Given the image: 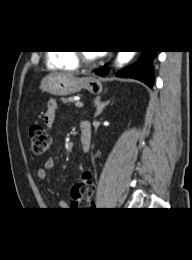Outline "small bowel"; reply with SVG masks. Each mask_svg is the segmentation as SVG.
Returning <instances> with one entry per match:
<instances>
[{
	"label": "small bowel",
	"mask_w": 192,
	"mask_h": 260,
	"mask_svg": "<svg viewBox=\"0 0 192 260\" xmlns=\"http://www.w3.org/2000/svg\"><path fill=\"white\" fill-rule=\"evenodd\" d=\"M58 110V104L55 100L51 99L48 102V106H47V111L44 115V123L48 128H51L53 123H54V119H55V115L56 112ZM55 159L50 157L48 159H46L45 163H44V168H41L37 171V177L40 181H44L46 179L47 176V171L51 170L55 167ZM91 204H82L79 202H72V207L74 208H86V207H90ZM56 207L60 210L67 208V203L63 200H60L57 202Z\"/></svg>",
	"instance_id": "obj_1"
}]
</instances>
